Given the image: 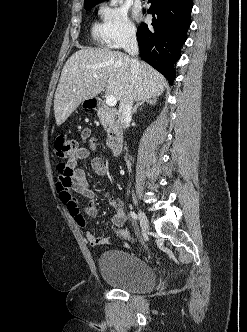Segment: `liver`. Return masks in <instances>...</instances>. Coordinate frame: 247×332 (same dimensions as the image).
Listing matches in <instances>:
<instances>
[{
	"label": "liver",
	"mask_w": 247,
	"mask_h": 332,
	"mask_svg": "<svg viewBox=\"0 0 247 332\" xmlns=\"http://www.w3.org/2000/svg\"><path fill=\"white\" fill-rule=\"evenodd\" d=\"M139 62V61H138ZM129 56L109 49L83 48L65 63L54 97V113L62 125L84 100L101 93L104 88L118 101L133 85L134 99L158 97L167 85L166 79L145 62H139L138 76L132 80Z\"/></svg>",
	"instance_id": "1"
}]
</instances>
